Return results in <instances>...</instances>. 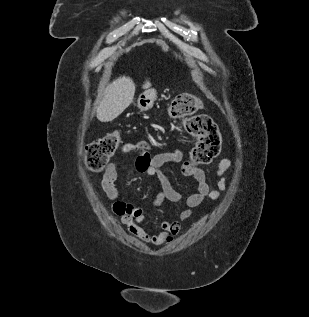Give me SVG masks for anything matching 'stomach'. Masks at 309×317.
<instances>
[{
	"instance_id": "1",
	"label": "stomach",
	"mask_w": 309,
	"mask_h": 317,
	"mask_svg": "<svg viewBox=\"0 0 309 317\" xmlns=\"http://www.w3.org/2000/svg\"><path fill=\"white\" fill-rule=\"evenodd\" d=\"M157 98V92L153 89L146 90L141 93L137 100V107L141 111H147L153 107L154 101Z\"/></svg>"
}]
</instances>
